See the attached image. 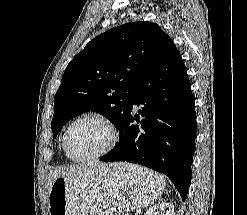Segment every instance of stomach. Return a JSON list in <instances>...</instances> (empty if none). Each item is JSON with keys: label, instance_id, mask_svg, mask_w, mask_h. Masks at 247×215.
Returning a JSON list of instances; mask_svg holds the SVG:
<instances>
[{"label": "stomach", "instance_id": "obj_1", "mask_svg": "<svg viewBox=\"0 0 247 215\" xmlns=\"http://www.w3.org/2000/svg\"><path fill=\"white\" fill-rule=\"evenodd\" d=\"M162 176L129 163L107 164L84 177L57 178L48 196L49 215H119L152 204L163 192Z\"/></svg>", "mask_w": 247, "mask_h": 215}]
</instances>
